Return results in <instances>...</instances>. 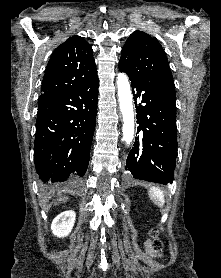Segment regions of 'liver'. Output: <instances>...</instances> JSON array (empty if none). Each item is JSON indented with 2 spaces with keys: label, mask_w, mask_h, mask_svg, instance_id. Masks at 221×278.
Segmentation results:
<instances>
[{
  "label": "liver",
  "mask_w": 221,
  "mask_h": 278,
  "mask_svg": "<svg viewBox=\"0 0 221 278\" xmlns=\"http://www.w3.org/2000/svg\"><path fill=\"white\" fill-rule=\"evenodd\" d=\"M67 199H68L67 197H60L59 201H64L65 202Z\"/></svg>",
  "instance_id": "liver-1"
}]
</instances>
